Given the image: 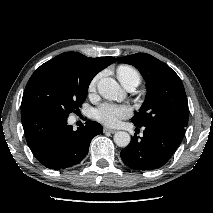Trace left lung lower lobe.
Here are the masks:
<instances>
[{
	"label": "left lung lower lobe",
	"mask_w": 213,
	"mask_h": 213,
	"mask_svg": "<svg viewBox=\"0 0 213 213\" xmlns=\"http://www.w3.org/2000/svg\"><path fill=\"white\" fill-rule=\"evenodd\" d=\"M137 127H142L134 124ZM143 137H132L120 155L132 169L152 170L163 166L180 145L185 132L171 126H144Z\"/></svg>",
	"instance_id": "obj_1"
}]
</instances>
